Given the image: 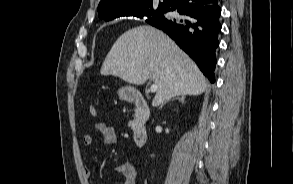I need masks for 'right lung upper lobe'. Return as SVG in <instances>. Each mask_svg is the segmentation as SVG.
<instances>
[{"label": "right lung upper lobe", "mask_w": 293, "mask_h": 184, "mask_svg": "<svg viewBox=\"0 0 293 184\" xmlns=\"http://www.w3.org/2000/svg\"><path fill=\"white\" fill-rule=\"evenodd\" d=\"M170 0L159 2L157 9L165 11ZM153 0H102L98 6L99 17L105 21L119 17L135 16L153 9Z\"/></svg>", "instance_id": "obj_1"}]
</instances>
